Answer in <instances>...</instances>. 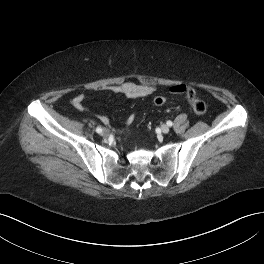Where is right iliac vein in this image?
Wrapping results in <instances>:
<instances>
[{"label":"right iliac vein","instance_id":"1","mask_svg":"<svg viewBox=\"0 0 264 264\" xmlns=\"http://www.w3.org/2000/svg\"><path fill=\"white\" fill-rule=\"evenodd\" d=\"M102 136H104V137L108 136V131L104 130L103 133H102Z\"/></svg>","mask_w":264,"mask_h":264}]
</instances>
